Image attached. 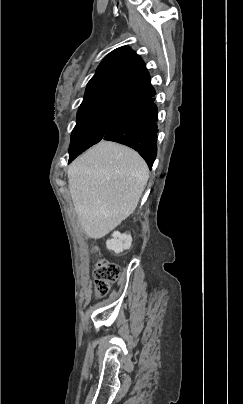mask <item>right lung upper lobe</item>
<instances>
[{"label":"right lung upper lobe","instance_id":"cb5924a9","mask_svg":"<svg viewBox=\"0 0 243 404\" xmlns=\"http://www.w3.org/2000/svg\"><path fill=\"white\" fill-rule=\"evenodd\" d=\"M150 76L142 59L129 47L109 53L89 81L80 107L102 102H129L153 94Z\"/></svg>","mask_w":243,"mask_h":404}]
</instances>
